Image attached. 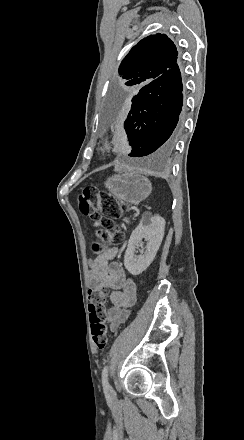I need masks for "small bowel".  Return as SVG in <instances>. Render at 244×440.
<instances>
[{
	"label": "small bowel",
	"instance_id": "1",
	"mask_svg": "<svg viewBox=\"0 0 244 440\" xmlns=\"http://www.w3.org/2000/svg\"><path fill=\"white\" fill-rule=\"evenodd\" d=\"M93 227L99 228L100 222L94 221ZM118 248L103 250L89 262V280L91 286L105 287L111 290V306L108 309V326L111 332H116L124 323L137 303V285L126 277L124 269L114 258Z\"/></svg>",
	"mask_w": 244,
	"mask_h": 440
}]
</instances>
